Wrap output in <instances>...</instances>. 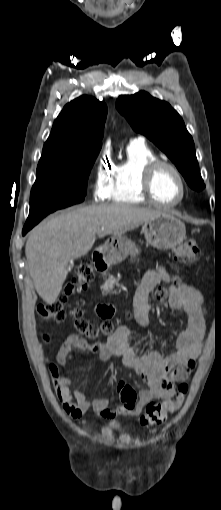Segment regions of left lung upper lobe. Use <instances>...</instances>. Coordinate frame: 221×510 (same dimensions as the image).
I'll return each mask as SVG.
<instances>
[{
	"label": "left lung upper lobe",
	"mask_w": 221,
	"mask_h": 510,
	"mask_svg": "<svg viewBox=\"0 0 221 510\" xmlns=\"http://www.w3.org/2000/svg\"><path fill=\"white\" fill-rule=\"evenodd\" d=\"M116 107L136 132L144 134L172 160L192 189L200 191L205 187L193 139L180 115L167 102L140 91L120 96Z\"/></svg>",
	"instance_id": "5c2ea615"
}]
</instances>
